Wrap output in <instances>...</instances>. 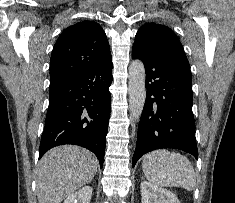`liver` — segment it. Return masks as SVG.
Listing matches in <instances>:
<instances>
[{
  "mask_svg": "<svg viewBox=\"0 0 235 203\" xmlns=\"http://www.w3.org/2000/svg\"><path fill=\"white\" fill-rule=\"evenodd\" d=\"M97 166L96 156L85 148L63 145L49 150L38 164V203H61L92 181Z\"/></svg>",
  "mask_w": 235,
  "mask_h": 203,
  "instance_id": "6515ba94",
  "label": "liver"
}]
</instances>
